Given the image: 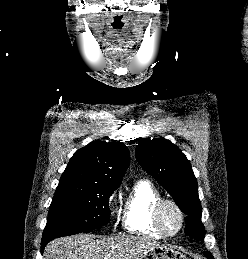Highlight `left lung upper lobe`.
<instances>
[{
  "instance_id": "5c2ea615",
  "label": "left lung upper lobe",
  "mask_w": 248,
  "mask_h": 259,
  "mask_svg": "<svg viewBox=\"0 0 248 259\" xmlns=\"http://www.w3.org/2000/svg\"><path fill=\"white\" fill-rule=\"evenodd\" d=\"M135 154L141 167L170 193L180 210L187 215L185 233L203 241L197 180L186 156L164 138L142 141Z\"/></svg>"
}]
</instances>
